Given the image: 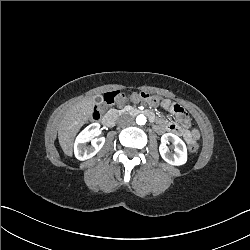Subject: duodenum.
Masks as SVG:
<instances>
[{
    "label": "duodenum",
    "instance_id": "1",
    "mask_svg": "<svg viewBox=\"0 0 250 250\" xmlns=\"http://www.w3.org/2000/svg\"><path fill=\"white\" fill-rule=\"evenodd\" d=\"M143 110H133L134 115L142 114ZM102 123L105 127L110 128L114 125V113L112 111L106 113L102 119Z\"/></svg>",
    "mask_w": 250,
    "mask_h": 250
}]
</instances>
